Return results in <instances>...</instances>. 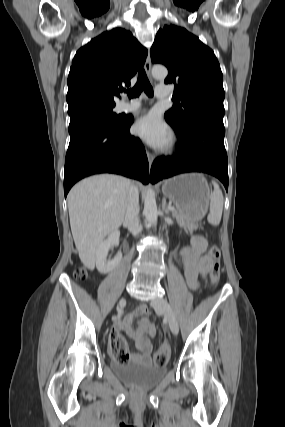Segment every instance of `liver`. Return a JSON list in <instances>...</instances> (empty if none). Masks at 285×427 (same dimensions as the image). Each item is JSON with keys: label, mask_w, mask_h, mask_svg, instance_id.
I'll use <instances>...</instances> for the list:
<instances>
[{"label": "liver", "mask_w": 285, "mask_h": 427, "mask_svg": "<svg viewBox=\"0 0 285 427\" xmlns=\"http://www.w3.org/2000/svg\"><path fill=\"white\" fill-rule=\"evenodd\" d=\"M130 181L117 175H96L76 184L68 194L70 226L82 263L95 265L104 238L116 231L126 214Z\"/></svg>", "instance_id": "6515ba94"}]
</instances>
